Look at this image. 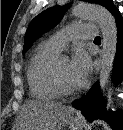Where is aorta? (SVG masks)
Wrapping results in <instances>:
<instances>
[{"instance_id": "1", "label": "aorta", "mask_w": 123, "mask_h": 130, "mask_svg": "<svg viewBox=\"0 0 123 130\" xmlns=\"http://www.w3.org/2000/svg\"><path fill=\"white\" fill-rule=\"evenodd\" d=\"M77 18L95 20L102 32V62L99 74L100 88L103 91L108 82L117 48V26L112 14L102 6L80 3L72 9Z\"/></svg>"}]
</instances>
